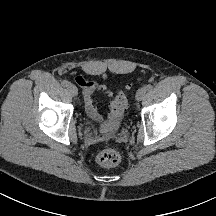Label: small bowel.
Instances as JSON below:
<instances>
[{
	"mask_svg": "<svg viewBox=\"0 0 216 216\" xmlns=\"http://www.w3.org/2000/svg\"><path fill=\"white\" fill-rule=\"evenodd\" d=\"M76 82L83 90L85 112L87 116L94 121H101L103 118V114L98 109L95 103L94 95L100 92L107 97H111V92L105 86H100L96 82L88 80L82 76L76 77ZM115 125L116 117L112 113H110L108 115L107 121L101 128V133L106 134L112 132L115 128Z\"/></svg>",
	"mask_w": 216,
	"mask_h": 216,
	"instance_id": "c3829d8e",
	"label": "small bowel"
}]
</instances>
